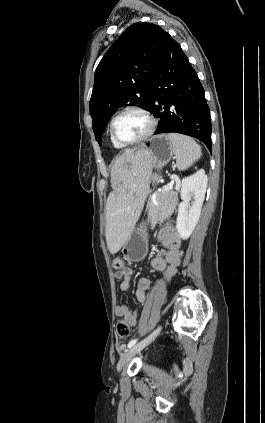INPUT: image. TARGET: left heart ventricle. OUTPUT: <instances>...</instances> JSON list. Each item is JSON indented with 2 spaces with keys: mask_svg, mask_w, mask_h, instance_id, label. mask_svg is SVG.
I'll return each mask as SVG.
<instances>
[{
  "mask_svg": "<svg viewBox=\"0 0 265 423\" xmlns=\"http://www.w3.org/2000/svg\"><path fill=\"white\" fill-rule=\"evenodd\" d=\"M147 119L140 113L128 112L114 123V132L122 141H132L142 136L148 129Z\"/></svg>",
  "mask_w": 265,
  "mask_h": 423,
  "instance_id": "left-heart-ventricle-1",
  "label": "left heart ventricle"
}]
</instances>
